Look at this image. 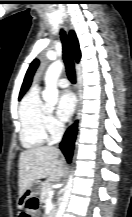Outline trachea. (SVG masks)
Segmentation results:
<instances>
[{
    "label": "trachea",
    "mask_w": 132,
    "mask_h": 217,
    "mask_svg": "<svg viewBox=\"0 0 132 217\" xmlns=\"http://www.w3.org/2000/svg\"><path fill=\"white\" fill-rule=\"evenodd\" d=\"M60 35H61V41L63 45V59L66 67V73L71 83L74 84L76 81V76H75L73 56L71 53V49L65 31L61 30Z\"/></svg>",
    "instance_id": "trachea-1"
}]
</instances>
